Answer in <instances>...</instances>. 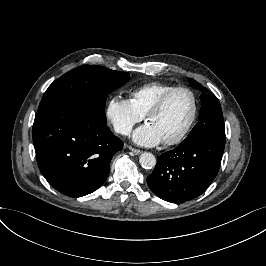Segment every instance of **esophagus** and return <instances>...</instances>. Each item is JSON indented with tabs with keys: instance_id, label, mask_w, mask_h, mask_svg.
<instances>
[{
	"instance_id": "1",
	"label": "esophagus",
	"mask_w": 266,
	"mask_h": 266,
	"mask_svg": "<svg viewBox=\"0 0 266 266\" xmlns=\"http://www.w3.org/2000/svg\"><path fill=\"white\" fill-rule=\"evenodd\" d=\"M129 149L135 154V155H139L142 151L133 147H129Z\"/></svg>"
}]
</instances>
